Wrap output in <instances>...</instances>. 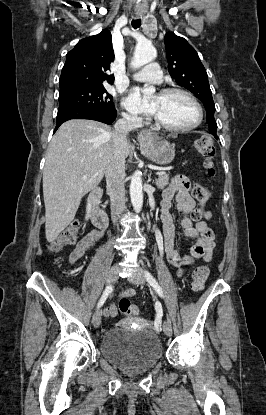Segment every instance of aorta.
Segmentation results:
<instances>
[{"instance_id":"aorta-1","label":"aorta","mask_w":266,"mask_h":415,"mask_svg":"<svg viewBox=\"0 0 266 415\" xmlns=\"http://www.w3.org/2000/svg\"><path fill=\"white\" fill-rule=\"evenodd\" d=\"M156 49L150 43L138 44L135 48L134 57L131 62L133 68H140L156 58ZM155 92L153 87L144 90V99ZM131 203L136 212H140L143 205V191L141 174L136 172L131 177L130 183Z\"/></svg>"}]
</instances>
